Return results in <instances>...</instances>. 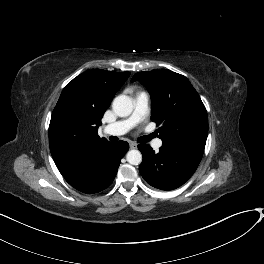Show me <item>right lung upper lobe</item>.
I'll return each instance as SVG.
<instances>
[{"instance_id": "right-lung-upper-lobe-1", "label": "right lung upper lobe", "mask_w": 264, "mask_h": 264, "mask_svg": "<svg viewBox=\"0 0 264 264\" xmlns=\"http://www.w3.org/2000/svg\"><path fill=\"white\" fill-rule=\"evenodd\" d=\"M130 72L86 71L63 89L52 112L49 146L62 175L82 166L109 141L98 136L101 118Z\"/></svg>"}]
</instances>
